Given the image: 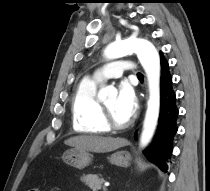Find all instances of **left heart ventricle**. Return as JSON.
<instances>
[{"label":"left heart ventricle","instance_id":"b2bd125f","mask_svg":"<svg viewBox=\"0 0 210 191\" xmlns=\"http://www.w3.org/2000/svg\"><path fill=\"white\" fill-rule=\"evenodd\" d=\"M103 103L108 108V110L110 111L114 120L117 123L122 124V123H125V122L128 121V119L124 115H122L117 109V97L116 96L110 97L109 99H107Z\"/></svg>","mask_w":210,"mask_h":191}]
</instances>
